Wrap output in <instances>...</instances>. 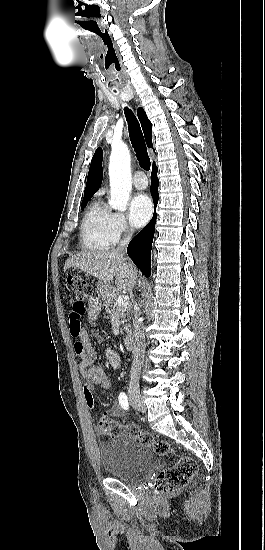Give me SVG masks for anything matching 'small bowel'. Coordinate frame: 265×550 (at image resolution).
I'll return each instance as SVG.
<instances>
[{"mask_svg": "<svg viewBox=\"0 0 265 550\" xmlns=\"http://www.w3.org/2000/svg\"><path fill=\"white\" fill-rule=\"evenodd\" d=\"M101 311V301L99 298H92L86 307V313L90 319H95ZM74 326L71 328L72 334L78 339L74 350L80 358L79 370L85 378L83 388L85 399L89 407H94L93 389L99 386L103 389L111 387L110 377L104 367L95 363V351L87 330L81 326L79 319H73ZM107 361L114 368H120L123 362L122 356L114 349L107 347L104 351ZM123 408L120 404H114L103 413V417H121Z\"/></svg>", "mask_w": 265, "mask_h": 550, "instance_id": "obj_1", "label": "small bowel"}]
</instances>
